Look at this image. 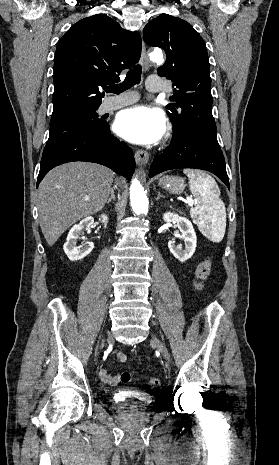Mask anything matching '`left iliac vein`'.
<instances>
[{
  "label": "left iliac vein",
  "mask_w": 279,
  "mask_h": 465,
  "mask_svg": "<svg viewBox=\"0 0 279 465\" xmlns=\"http://www.w3.org/2000/svg\"><path fill=\"white\" fill-rule=\"evenodd\" d=\"M152 341L153 343L157 346V348L159 349V351L161 352V354L163 355V357L169 361L170 360V355L166 349V347L164 346V344L155 336H153L152 338Z\"/></svg>",
  "instance_id": "left-iliac-vein-1"
}]
</instances>
